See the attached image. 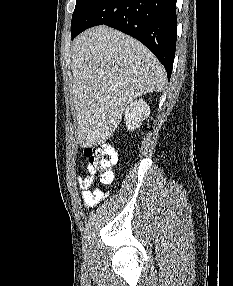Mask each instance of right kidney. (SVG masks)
Returning <instances> with one entry per match:
<instances>
[{"mask_svg": "<svg viewBox=\"0 0 233 286\" xmlns=\"http://www.w3.org/2000/svg\"><path fill=\"white\" fill-rule=\"evenodd\" d=\"M150 114V107L143 99L131 102L125 110V121L128 130L133 131L138 128L142 121Z\"/></svg>", "mask_w": 233, "mask_h": 286, "instance_id": "obj_1", "label": "right kidney"}]
</instances>
